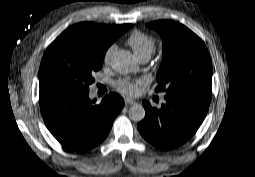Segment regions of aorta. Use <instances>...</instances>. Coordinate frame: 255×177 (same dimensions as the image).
Masks as SVG:
<instances>
[{"mask_svg": "<svg viewBox=\"0 0 255 177\" xmlns=\"http://www.w3.org/2000/svg\"><path fill=\"white\" fill-rule=\"evenodd\" d=\"M111 66L114 71L120 74H128L137 69V64L131 52L118 50L111 58ZM129 118L134 122H140L145 117V109L140 104H134L128 111Z\"/></svg>", "mask_w": 255, "mask_h": 177, "instance_id": "762f6f07", "label": "aorta"}]
</instances>
